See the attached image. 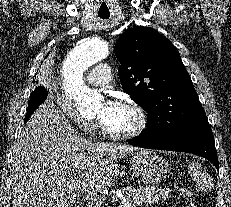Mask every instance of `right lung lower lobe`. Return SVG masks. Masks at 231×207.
Here are the masks:
<instances>
[{"label":"right lung lower lobe","instance_id":"obj_1","mask_svg":"<svg viewBox=\"0 0 231 207\" xmlns=\"http://www.w3.org/2000/svg\"><path fill=\"white\" fill-rule=\"evenodd\" d=\"M46 98H47V91L45 89L44 93H42L41 96H37L35 99L29 101L27 113H26V116L24 119V123H26L28 121V119L31 117V115L36 110V108L41 103H43L46 100Z\"/></svg>","mask_w":231,"mask_h":207}]
</instances>
